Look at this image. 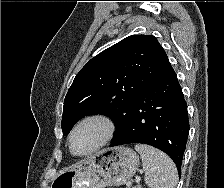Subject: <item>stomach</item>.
<instances>
[{"label":"stomach","mask_w":224,"mask_h":188,"mask_svg":"<svg viewBox=\"0 0 224 188\" xmlns=\"http://www.w3.org/2000/svg\"><path fill=\"white\" fill-rule=\"evenodd\" d=\"M139 156L128 147L106 148L61 171L50 188H105L125 184L136 172Z\"/></svg>","instance_id":"0dacf381"}]
</instances>
